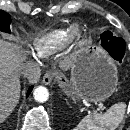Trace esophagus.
Instances as JSON below:
<instances>
[{"label": "esophagus", "instance_id": "34e87169", "mask_svg": "<svg viewBox=\"0 0 130 130\" xmlns=\"http://www.w3.org/2000/svg\"><path fill=\"white\" fill-rule=\"evenodd\" d=\"M55 76H56V72H54V71H48V72L44 75V77H43V80H42L43 84H45V85H50V84L52 83L53 78H54Z\"/></svg>", "mask_w": 130, "mask_h": 130}]
</instances>
